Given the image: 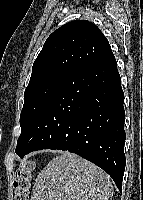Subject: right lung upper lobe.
<instances>
[{
  "label": "right lung upper lobe",
  "mask_w": 143,
  "mask_h": 200,
  "mask_svg": "<svg viewBox=\"0 0 143 200\" xmlns=\"http://www.w3.org/2000/svg\"><path fill=\"white\" fill-rule=\"evenodd\" d=\"M111 53L108 40L96 25L71 21L48 37L34 61L29 83L51 74L70 76Z\"/></svg>",
  "instance_id": "right-lung-upper-lobe-1"
}]
</instances>
